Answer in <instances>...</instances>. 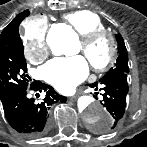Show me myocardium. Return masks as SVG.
<instances>
[{
  "label": "myocardium",
  "mask_w": 147,
  "mask_h": 147,
  "mask_svg": "<svg viewBox=\"0 0 147 147\" xmlns=\"http://www.w3.org/2000/svg\"><path fill=\"white\" fill-rule=\"evenodd\" d=\"M104 40L107 45V54L102 61H95L91 57V53L94 47L101 41ZM82 51L87 57L92 68L96 71L106 70L115 60L117 46L112 34L106 30H96L83 37L80 41Z\"/></svg>",
  "instance_id": "f54148a6"
}]
</instances>
